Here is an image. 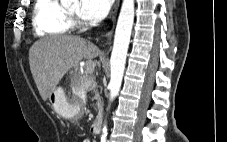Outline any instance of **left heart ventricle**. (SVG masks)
Here are the masks:
<instances>
[{
    "mask_svg": "<svg viewBox=\"0 0 227 142\" xmlns=\"http://www.w3.org/2000/svg\"><path fill=\"white\" fill-rule=\"evenodd\" d=\"M69 11L73 13H79V2H74L71 6L67 8Z\"/></svg>",
    "mask_w": 227,
    "mask_h": 142,
    "instance_id": "b2bd125f",
    "label": "left heart ventricle"
}]
</instances>
